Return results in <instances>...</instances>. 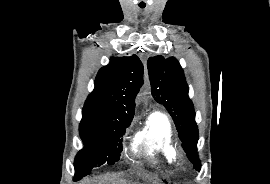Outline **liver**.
<instances>
[{
	"mask_svg": "<svg viewBox=\"0 0 270 184\" xmlns=\"http://www.w3.org/2000/svg\"><path fill=\"white\" fill-rule=\"evenodd\" d=\"M82 184H129V183H127V181L125 180L117 179L113 175H104L94 180L86 179L85 181H83Z\"/></svg>",
	"mask_w": 270,
	"mask_h": 184,
	"instance_id": "1",
	"label": "liver"
}]
</instances>
